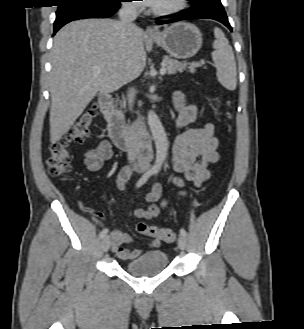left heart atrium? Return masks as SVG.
Returning <instances> with one entry per match:
<instances>
[{
	"mask_svg": "<svg viewBox=\"0 0 304 329\" xmlns=\"http://www.w3.org/2000/svg\"><path fill=\"white\" fill-rule=\"evenodd\" d=\"M157 0H143V3L146 5V6H150V7H153L154 4L156 3Z\"/></svg>",
	"mask_w": 304,
	"mask_h": 329,
	"instance_id": "left-heart-atrium-1",
	"label": "left heart atrium"
}]
</instances>
